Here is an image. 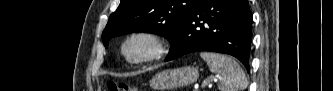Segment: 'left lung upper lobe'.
Masks as SVG:
<instances>
[{
    "label": "left lung upper lobe",
    "mask_w": 333,
    "mask_h": 91,
    "mask_svg": "<svg viewBox=\"0 0 333 91\" xmlns=\"http://www.w3.org/2000/svg\"><path fill=\"white\" fill-rule=\"evenodd\" d=\"M199 0H121L102 33L105 47L111 38L131 32H152L170 42Z\"/></svg>",
    "instance_id": "1"
}]
</instances>
